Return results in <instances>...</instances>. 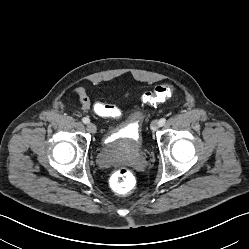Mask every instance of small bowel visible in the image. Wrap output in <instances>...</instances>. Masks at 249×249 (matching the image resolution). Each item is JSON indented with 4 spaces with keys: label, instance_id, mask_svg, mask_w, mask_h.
I'll list each match as a JSON object with an SVG mask.
<instances>
[{
    "label": "small bowel",
    "instance_id": "1",
    "mask_svg": "<svg viewBox=\"0 0 249 249\" xmlns=\"http://www.w3.org/2000/svg\"><path fill=\"white\" fill-rule=\"evenodd\" d=\"M72 92L78 96L80 109L82 111H88L92 109L96 115L108 118H117L121 114L120 110L113 105L99 101L92 103L85 88L81 86L75 87Z\"/></svg>",
    "mask_w": 249,
    "mask_h": 249
}]
</instances>
